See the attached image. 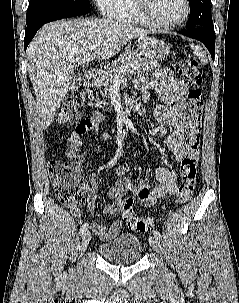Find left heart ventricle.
<instances>
[{"instance_id":"obj_1","label":"left heart ventricle","mask_w":239,"mask_h":303,"mask_svg":"<svg viewBox=\"0 0 239 303\" xmlns=\"http://www.w3.org/2000/svg\"><path fill=\"white\" fill-rule=\"evenodd\" d=\"M185 11L183 0H151L150 17L157 23L168 24L179 20Z\"/></svg>"}]
</instances>
